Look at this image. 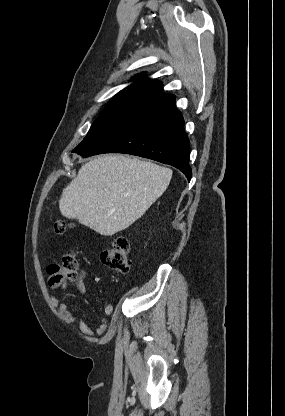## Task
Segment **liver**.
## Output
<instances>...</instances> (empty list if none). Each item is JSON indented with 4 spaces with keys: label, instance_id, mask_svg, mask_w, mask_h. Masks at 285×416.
<instances>
[{
    "label": "liver",
    "instance_id": "obj_1",
    "mask_svg": "<svg viewBox=\"0 0 285 416\" xmlns=\"http://www.w3.org/2000/svg\"><path fill=\"white\" fill-rule=\"evenodd\" d=\"M172 170L126 156H100L80 168L62 192L65 218L101 236L122 232L141 218L170 184Z\"/></svg>",
    "mask_w": 285,
    "mask_h": 416
}]
</instances>
